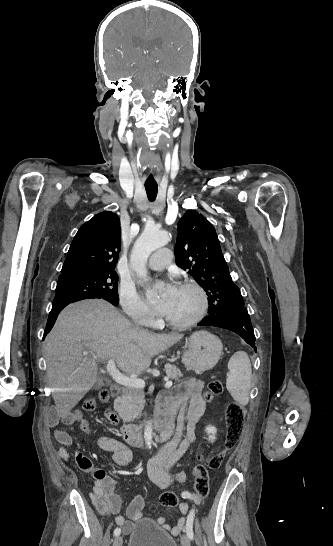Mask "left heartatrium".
<instances>
[{
	"label": "left heart atrium",
	"mask_w": 333,
	"mask_h": 546,
	"mask_svg": "<svg viewBox=\"0 0 333 546\" xmlns=\"http://www.w3.org/2000/svg\"><path fill=\"white\" fill-rule=\"evenodd\" d=\"M177 288L173 284L169 283L165 286L160 298L155 302L154 307L157 312L162 315H167L172 303V300L176 294Z\"/></svg>",
	"instance_id": "1"
}]
</instances>
